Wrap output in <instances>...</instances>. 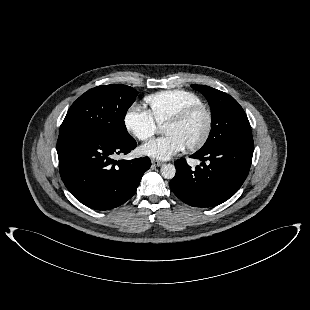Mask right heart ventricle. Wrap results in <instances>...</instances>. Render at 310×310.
Listing matches in <instances>:
<instances>
[{
    "instance_id": "1",
    "label": "right heart ventricle",
    "mask_w": 310,
    "mask_h": 310,
    "mask_svg": "<svg viewBox=\"0 0 310 310\" xmlns=\"http://www.w3.org/2000/svg\"><path fill=\"white\" fill-rule=\"evenodd\" d=\"M144 102L148 107V113L156 124L162 125L181 110L195 104H201L202 100L191 91L173 89L147 95Z\"/></svg>"
}]
</instances>
